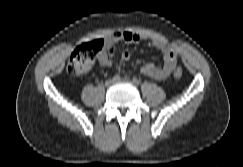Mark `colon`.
Masks as SVG:
<instances>
[{
  "label": "colon",
  "mask_w": 243,
  "mask_h": 167,
  "mask_svg": "<svg viewBox=\"0 0 243 167\" xmlns=\"http://www.w3.org/2000/svg\"><path fill=\"white\" fill-rule=\"evenodd\" d=\"M104 42L101 39H96L78 46L70 56L67 70L72 75L85 74L92 66L97 55L104 49ZM182 70L176 69L174 76L180 78Z\"/></svg>",
  "instance_id": "obj_1"
}]
</instances>
